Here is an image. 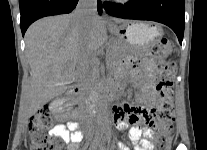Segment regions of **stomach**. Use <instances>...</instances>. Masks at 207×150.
I'll list each match as a JSON object with an SVG mask.
<instances>
[{
    "instance_id": "stomach-1",
    "label": "stomach",
    "mask_w": 207,
    "mask_h": 150,
    "mask_svg": "<svg viewBox=\"0 0 207 150\" xmlns=\"http://www.w3.org/2000/svg\"><path fill=\"white\" fill-rule=\"evenodd\" d=\"M109 31L114 36L115 47L120 50V58L129 53L126 47L143 53L163 35L160 25L142 22L126 21L120 25H110Z\"/></svg>"
}]
</instances>
